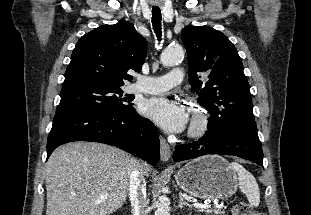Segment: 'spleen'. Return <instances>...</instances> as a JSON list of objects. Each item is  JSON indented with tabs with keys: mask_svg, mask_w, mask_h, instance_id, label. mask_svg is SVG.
Here are the masks:
<instances>
[{
	"mask_svg": "<svg viewBox=\"0 0 311 215\" xmlns=\"http://www.w3.org/2000/svg\"><path fill=\"white\" fill-rule=\"evenodd\" d=\"M230 165L238 174L240 190L246 195L249 203L257 207L260 204V192L256 179L241 164L232 162Z\"/></svg>",
	"mask_w": 311,
	"mask_h": 215,
	"instance_id": "3e777b00",
	"label": "spleen"
}]
</instances>
